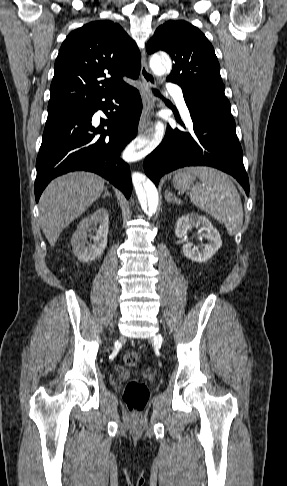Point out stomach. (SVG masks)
<instances>
[{
	"label": "stomach",
	"mask_w": 287,
	"mask_h": 486,
	"mask_svg": "<svg viewBox=\"0 0 287 486\" xmlns=\"http://www.w3.org/2000/svg\"><path fill=\"white\" fill-rule=\"evenodd\" d=\"M195 180V175L189 169L179 171L173 177V185L178 190H188Z\"/></svg>",
	"instance_id": "stomach-1"
}]
</instances>
